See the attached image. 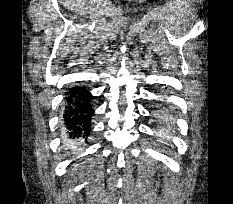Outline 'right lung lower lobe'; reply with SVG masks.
Returning a JSON list of instances; mask_svg holds the SVG:
<instances>
[{
    "label": "right lung lower lobe",
    "mask_w": 233,
    "mask_h": 204,
    "mask_svg": "<svg viewBox=\"0 0 233 204\" xmlns=\"http://www.w3.org/2000/svg\"><path fill=\"white\" fill-rule=\"evenodd\" d=\"M64 124L71 140L85 139L91 132V117L94 113L90 104L91 94L81 87H73L66 94Z\"/></svg>",
    "instance_id": "obj_1"
}]
</instances>
